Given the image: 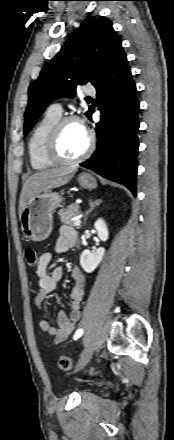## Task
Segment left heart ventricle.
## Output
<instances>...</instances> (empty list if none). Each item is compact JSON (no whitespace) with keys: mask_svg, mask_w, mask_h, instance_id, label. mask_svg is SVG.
<instances>
[{"mask_svg":"<svg viewBox=\"0 0 174 440\" xmlns=\"http://www.w3.org/2000/svg\"><path fill=\"white\" fill-rule=\"evenodd\" d=\"M87 143L88 136L84 128L77 122H71L62 130L59 150L63 157L73 159L86 149Z\"/></svg>","mask_w":174,"mask_h":440,"instance_id":"1","label":"left heart ventricle"}]
</instances>
